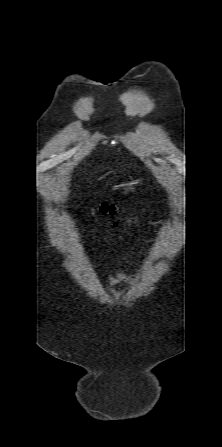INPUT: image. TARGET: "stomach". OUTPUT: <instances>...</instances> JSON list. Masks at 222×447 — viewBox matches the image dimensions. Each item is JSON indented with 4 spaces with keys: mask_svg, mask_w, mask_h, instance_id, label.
<instances>
[{
    "mask_svg": "<svg viewBox=\"0 0 222 447\" xmlns=\"http://www.w3.org/2000/svg\"><path fill=\"white\" fill-rule=\"evenodd\" d=\"M134 184H136V183L135 182H125L119 186V189L122 193L127 194L130 191L134 190Z\"/></svg>",
    "mask_w": 222,
    "mask_h": 447,
    "instance_id": "1",
    "label": "stomach"
}]
</instances>
